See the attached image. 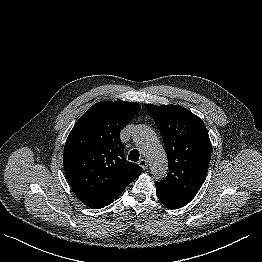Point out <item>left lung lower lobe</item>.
I'll use <instances>...</instances> for the list:
<instances>
[{"label": "left lung lower lobe", "instance_id": "obj_1", "mask_svg": "<svg viewBox=\"0 0 262 262\" xmlns=\"http://www.w3.org/2000/svg\"><path fill=\"white\" fill-rule=\"evenodd\" d=\"M157 196L160 199V201L168 208V209H179L187 205L188 203L178 200V199H173L171 197H168L164 194H161L157 192Z\"/></svg>", "mask_w": 262, "mask_h": 262}]
</instances>
